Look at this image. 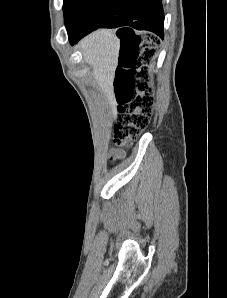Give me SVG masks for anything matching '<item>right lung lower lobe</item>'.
Wrapping results in <instances>:
<instances>
[{
  "label": "right lung lower lobe",
  "instance_id": "obj_1",
  "mask_svg": "<svg viewBox=\"0 0 227 298\" xmlns=\"http://www.w3.org/2000/svg\"><path fill=\"white\" fill-rule=\"evenodd\" d=\"M164 12L161 0H108L77 32L68 34L70 44L77 43L88 33L101 28L122 27L119 64L124 66L125 43L135 38L134 30H148L163 39ZM121 69H117L116 77Z\"/></svg>",
  "mask_w": 227,
  "mask_h": 298
}]
</instances>
